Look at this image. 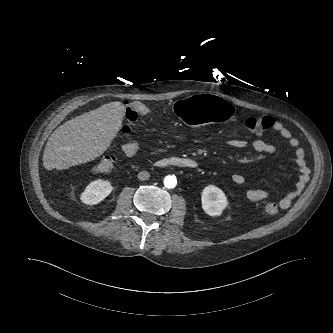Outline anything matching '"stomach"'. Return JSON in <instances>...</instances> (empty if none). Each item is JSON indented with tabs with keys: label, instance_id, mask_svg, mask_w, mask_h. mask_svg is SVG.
<instances>
[{
	"label": "stomach",
	"instance_id": "obj_1",
	"mask_svg": "<svg viewBox=\"0 0 333 333\" xmlns=\"http://www.w3.org/2000/svg\"><path fill=\"white\" fill-rule=\"evenodd\" d=\"M173 111L190 125L198 122L204 125H225L234 120L237 108L228 97L204 93L177 100Z\"/></svg>",
	"mask_w": 333,
	"mask_h": 333
}]
</instances>
